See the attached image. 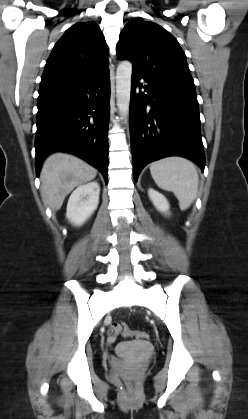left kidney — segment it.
<instances>
[{"label": "left kidney", "instance_id": "5707ae66", "mask_svg": "<svg viewBox=\"0 0 248 419\" xmlns=\"http://www.w3.org/2000/svg\"><path fill=\"white\" fill-rule=\"evenodd\" d=\"M148 195L153 205L158 211L162 213H168L170 205L164 195H162L161 193H159L158 191L152 188L148 190Z\"/></svg>", "mask_w": 248, "mask_h": 419}]
</instances>
